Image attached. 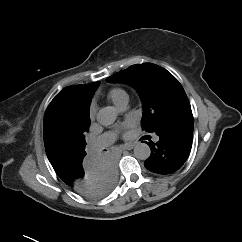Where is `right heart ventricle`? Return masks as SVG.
<instances>
[{
	"mask_svg": "<svg viewBox=\"0 0 242 242\" xmlns=\"http://www.w3.org/2000/svg\"><path fill=\"white\" fill-rule=\"evenodd\" d=\"M107 97L114 103V105L118 106V104L124 100L128 99V95L126 91L122 88L116 87L112 88L109 92Z\"/></svg>",
	"mask_w": 242,
	"mask_h": 242,
	"instance_id": "e07e8e85",
	"label": "right heart ventricle"
}]
</instances>
